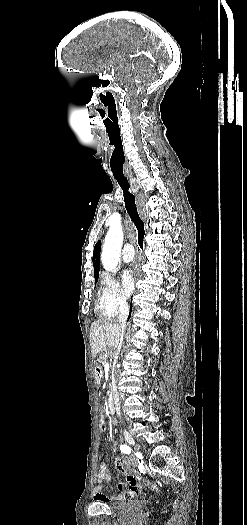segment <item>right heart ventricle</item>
Segmentation results:
<instances>
[{
	"label": "right heart ventricle",
	"mask_w": 247,
	"mask_h": 525,
	"mask_svg": "<svg viewBox=\"0 0 247 525\" xmlns=\"http://www.w3.org/2000/svg\"><path fill=\"white\" fill-rule=\"evenodd\" d=\"M95 313L96 315L99 317H111V316H115V315H109L107 313H105L102 309V307L100 306V304L97 302L96 303V307H95Z\"/></svg>",
	"instance_id": "e07e8e85"
}]
</instances>
